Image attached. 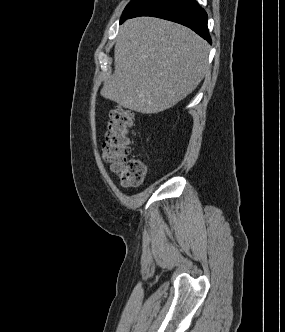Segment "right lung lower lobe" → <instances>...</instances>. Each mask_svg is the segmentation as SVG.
Returning a JSON list of instances; mask_svg holds the SVG:
<instances>
[{
  "mask_svg": "<svg viewBox=\"0 0 285 332\" xmlns=\"http://www.w3.org/2000/svg\"><path fill=\"white\" fill-rule=\"evenodd\" d=\"M137 16H154L180 23L212 43L207 28V14L195 0H148L128 18Z\"/></svg>",
  "mask_w": 285,
  "mask_h": 332,
  "instance_id": "right-lung-lower-lobe-1",
  "label": "right lung lower lobe"
}]
</instances>
